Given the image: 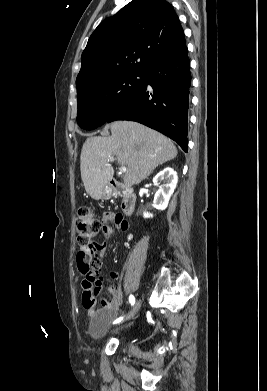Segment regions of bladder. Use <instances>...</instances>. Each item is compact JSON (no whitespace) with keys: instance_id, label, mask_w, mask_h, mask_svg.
Listing matches in <instances>:
<instances>
[{"instance_id":"bladder-1","label":"bladder","mask_w":267,"mask_h":391,"mask_svg":"<svg viewBox=\"0 0 267 391\" xmlns=\"http://www.w3.org/2000/svg\"><path fill=\"white\" fill-rule=\"evenodd\" d=\"M118 315V311L114 308L101 309L94 315L90 328L89 335L92 339L98 340L102 338L106 333L118 330L124 323L112 326L115 318ZM126 321V320H125Z\"/></svg>"}]
</instances>
